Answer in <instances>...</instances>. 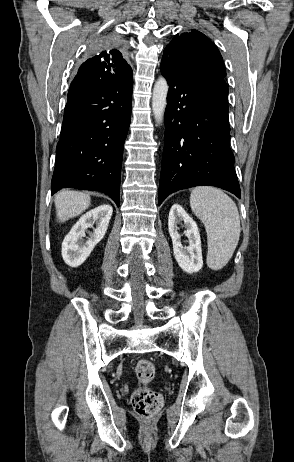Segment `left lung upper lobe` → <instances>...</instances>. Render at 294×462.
I'll return each instance as SVG.
<instances>
[{"label":"left lung upper lobe","mask_w":294,"mask_h":462,"mask_svg":"<svg viewBox=\"0 0 294 462\" xmlns=\"http://www.w3.org/2000/svg\"><path fill=\"white\" fill-rule=\"evenodd\" d=\"M161 65L207 80H223L226 76L218 48L197 30L177 34L165 48Z\"/></svg>","instance_id":"obj_1"}]
</instances>
